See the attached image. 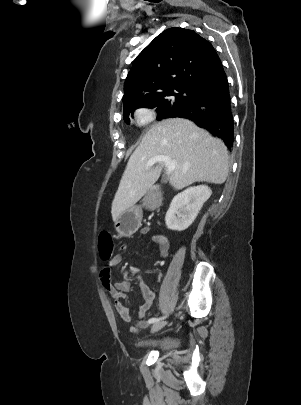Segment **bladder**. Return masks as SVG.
<instances>
[{"instance_id":"bladder-1","label":"bladder","mask_w":301,"mask_h":405,"mask_svg":"<svg viewBox=\"0 0 301 405\" xmlns=\"http://www.w3.org/2000/svg\"><path fill=\"white\" fill-rule=\"evenodd\" d=\"M136 348L142 351H158L167 353L179 346V341L172 335H165L150 341L136 342Z\"/></svg>"}]
</instances>
